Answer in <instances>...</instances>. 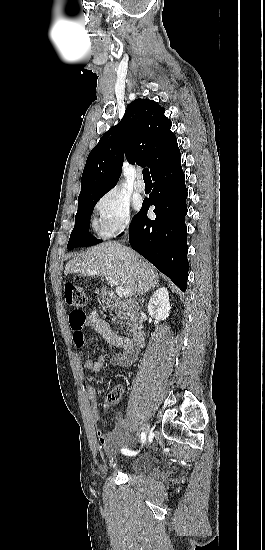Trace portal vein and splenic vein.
<instances>
[{"instance_id":"obj_1","label":"portal vein and splenic vein","mask_w":265,"mask_h":550,"mask_svg":"<svg viewBox=\"0 0 265 550\" xmlns=\"http://www.w3.org/2000/svg\"><path fill=\"white\" fill-rule=\"evenodd\" d=\"M89 274H90V275H98V273L95 272V271L89 272ZM105 279H106L109 283H111V284L117 286V287H116V293H117V295H118L119 297H124V296H126V292H125L124 288H122L121 286H119V284H118L112 277H110V276H105Z\"/></svg>"}]
</instances>
